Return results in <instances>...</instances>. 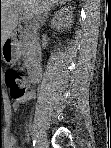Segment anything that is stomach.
Returning a JSON list of instances; mask_svg holds the SVG:
<instances>
[{"mask_svg": "<svg viewBox=\"0 0 111 148\" xmlns=\"http://www.w3.org/2000/svg\"><path fill=\"white\" fill-rule=\"evenodd\" d=\"M2 60L6 63H11L14 61V57L12 54L5 51L4 53H2Z\"/></svg>", "mask_w": 111, "mask_h": 148, "instance_id": "obj_1", "label": "stomach"}]
</instances>
